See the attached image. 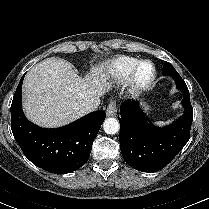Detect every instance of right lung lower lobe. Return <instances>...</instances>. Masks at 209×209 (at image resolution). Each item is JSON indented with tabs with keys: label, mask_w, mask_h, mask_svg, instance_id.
Segmentation results:
<instances>
[{
	"label": "right lung lower lobe",
	"mask_w": 209,
	"mask_h": 209,
	"mask_svg": "<svg viewBox=\"0 0 209 209\" xmlns=\"http://www.w3.org/2000/svg\"><path fill=\"white\" fill-rule=\"evenodd\" d=\"M21 78L11 104V129L24 155L51 173H68L89 159L93 141L106 117L93 112L57 129L40 128L28 121L21 105Z\"/></svg>",
	"instance_id": "right-lung-lower-lobe-1"
}]
</instances>
